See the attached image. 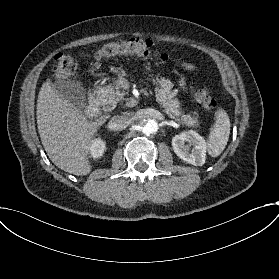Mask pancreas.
<instances>
[{"label": "pancreas", "instance_id": "pancreas-1", "mask_svg": "<svg viewBox=\"0 0 279 279\" xmlns=\"http://www.w3.org/2000/svg\"><path fill=\"white\" fill-rule=\"evenodd\" d=\"M155 88L156 101L164 108V112L172 119H177L188 125H194L197 120L190 115H183L179 109L180 102L175 98V93L172 91L173 84L170 80L164 77L157 76L152 79ZM128 87L126 86L125 89ZM98 99L103 107L115 108L117 103L123 99L125 91L120 90L119 85L109 84L103 87H97Z\"/></svg>", "mask_w": 279, "mask_h": 279}]
</instances>
